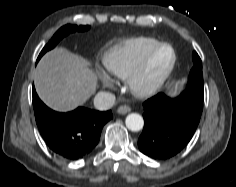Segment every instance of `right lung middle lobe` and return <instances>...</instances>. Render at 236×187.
Here are the masks:
<instances>
[{
	"mask_svg": "<svg viewBox=\"0 0 236 187\" xmlns=\"http://www.w3.org/2000/svg\"><path fill=\"white\" fill-rule=\"evenodd\" d=\"M90 27L89 26H76V25H65L63 27H61L52 37V39L49 41V43L43 48V50L41 51V53L39 54V57L37 59V61L42 57V55L47 52L48 50H51L52 48H54L58 42L65 37L66 35H68L69 33L75 32V31H86L88 30Z\"/></svg>",
	"mask_w": 236,
	"mask_h": 187,
	"instance_id": "dd1d6c3e",
	"label": "right lung middle lobe"
}]
</instances>
